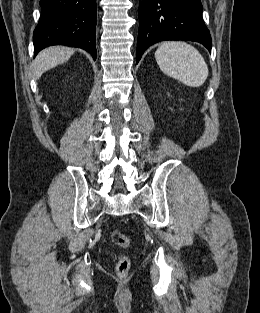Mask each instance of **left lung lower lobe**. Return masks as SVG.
Masks as SVG:
<instances>
[{
  "mask_svg": "<svg viewBox=\"0 0 260 313\" xmlns=\"http://www.w3.org/2000/svg\"><path fill=\"white\" fill-rule=\"evenodd\" d=\"M163 40L196 41L211 51L212 40L202 19L200 0H143L136 62L149 46Z\"/></svg>",
  "mask_w": 260,
  "mask_h": 313,
  "instance_id": "1",
  "label": "left lung lower lobe"
}]
</instances>
